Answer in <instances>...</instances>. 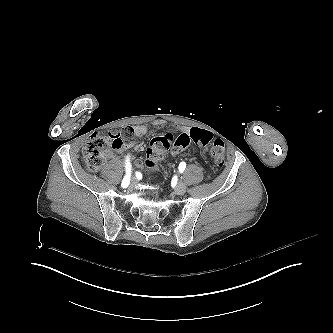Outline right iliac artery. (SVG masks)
I'll return each instance as SVG.
<instances>
[{
  "instance_id": "82829eb1",
  "label": "right iliac artery",
  "mask_w": 333,
  "mask_h": 333,
  "mask_svg": "<svg viewBox=\"0 0 333 333\" xmlns=\"http://www.w3.org/2000/svg\"><path fill=\"white\" fill-rule=\"evenodd\" d=\"M126 176L124 177L123 181H122V187L123 188H126L128 185H129V182H130V162H128V160H126Z\"/></svg>"
}]
</instances>
